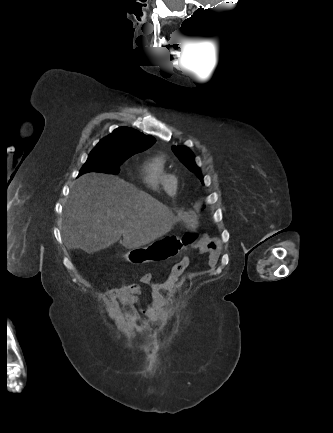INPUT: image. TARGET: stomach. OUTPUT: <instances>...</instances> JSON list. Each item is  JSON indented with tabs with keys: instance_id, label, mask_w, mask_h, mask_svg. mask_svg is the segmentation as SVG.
Masks as SVG:
<instances>
[{
	"instance_id": "obj_1",
	"label": "stomach",
	"mask_w": 333,
	"mask_h": 433,
	"mask_svg": "<svg viewBox=\"0 0 333 433\" xmlns=\"http://www.w3.org/2000/svg\"><path fill=\"white\" fill-rule=\"evenodd\" d=\"M204 211V207H203V204H201L200 205V212H203Z\"/></svg>"
}]
</instances>
